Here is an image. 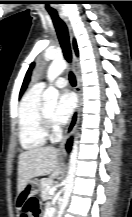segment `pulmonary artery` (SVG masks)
<instances>
[{
    "label": "pulmonary artery",
    "instance_id": "obj_1",
    "mask_svg": "<svg viewBox=\"0 0 132 217\" xmlns=\"http://www.w3.org/2000/svg\"><path fill=\"white\" fill-rule=\"evenodd\" d=\"M39 87L41 88H44L46 86V83L45 82H40L37 84ZM55 85L59 88H63L67 85V81L66 79L64 78H58L56 81H55Z\"/></svg>",
    "mask_w": 132,
    "mask_h": 217
}]
</instances>
